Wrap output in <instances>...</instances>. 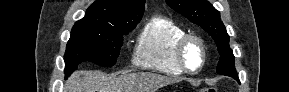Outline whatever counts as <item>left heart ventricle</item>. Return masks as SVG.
Here are the masks:
<instances>
[{
  "label": "left heart ventricle",
  "mask_w": 289,
  "mask_h": 92,
  "mask_svg": "<svg viewBox=\"0 0 289 92\" xmlns=\"http://www.w3.org/2000/svg\"><path fill=\"white\" fill-rule=\"evenodd\" d=\"M185 61L190 69H196L201 63V49L198 44L190 43L185 51Z\"/></svg>",
  "instance_id": "b2bd125f"
}]
</instances>
